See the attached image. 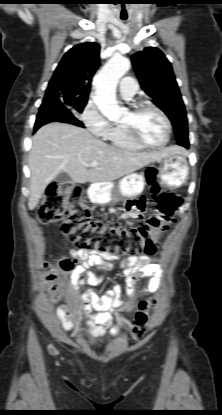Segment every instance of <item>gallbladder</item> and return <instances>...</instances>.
I'll return each instance as SVG.
<instances>
[{
    "label": "gallbladder",
    "mask_w": 222,
    "mask_h": 415,
    "mask_svg": "<svg viewBox=\"0 0 222 415\" xmlns=\"http://www.w3.org/2000/svg\"><path fill=\"white\" fill-rule=\"evenodd\" d=\"M55 180L61 185L66 183H73L71 177L65 172L58 174Z\"/></svg>",
    "instance_id": "obj_1"
}]
</instances>
